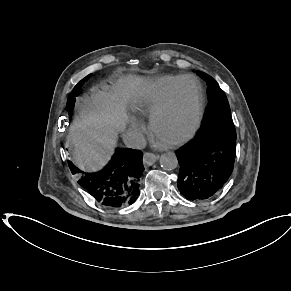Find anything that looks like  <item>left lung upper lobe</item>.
Instances as JSON below:
<instances>
[{"label": "left lung upper lobe", "mask_w": 291, "mask_h": 291, "mask_svg": "<svg viewBox=\"0 0 291 291\" xmlns=\"http://www.w3.org/2000/svg\"><path fill=\"white\" fill-rule=\"evenodd\" d=\"M198 75L207 82L209 94V105L198 133L236 139L235 126L225 93L212 77L203 72H198Z\"/></svg>", "instance_id": "5c2ea615"}]
</instances>
